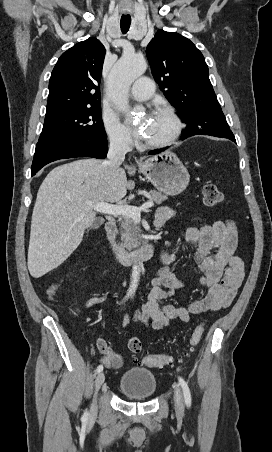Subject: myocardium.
Wrapping results in <instances>:
<instances>
[{
    "mask_svg": "<svg viewBox=\"0 0 272 452\" xmlns=\"http://www.w3.org/2000/svg\"><path fill=\"white\" fill-rule=\"evenodd\" d=\"M155 113H162L165 116H167L169 120L172 122V130L166 138L154 142L144 141L143 145L147 148L153 149L165 148L174 144L180 137L183 129V123L178 114L171 107L167 106L157 107Z\"/></svg>",
    "mask_w": 272,
    "mask_h": 452,
    "instance_id": "1",
    "label": "myocardium"
}]
</instances>
